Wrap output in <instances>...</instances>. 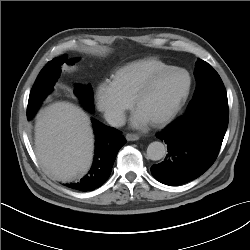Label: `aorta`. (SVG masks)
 <instances>
[{
  "label": "aorta",
  "mask_w": 250,
  "mask_h": 250,
  "mask_svg": "<svg viewBox=\"0 0 250 250\" xmlns=\"http://www.w3.org/2000/svg\"><path fill=\"white\" fill-rule=\"evenodd\" d=\"M166 155V147L162 142L154 141L148 145L147 156L153 161H158Z\"/></svg>",
  "instance_id": "obj_1"
}]
</instances>
